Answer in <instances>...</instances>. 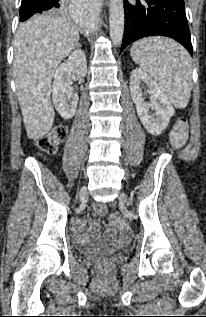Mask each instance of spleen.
Here are the masks:
<instances>
[{
	"label": "spleen",
	"instance_id": "obj_1",
	"mask_svg": "<svg viewBox=\"0 0 206 317\" xmlns=\"http://www.w3.org/2000/svg\"><path fill=\"white\" fill-rule=\"evenodd\" d=\"M130 53L154 77L170 103L180 109L187 106L192 88V62L181 45L164 37H148L135 42Z\"/></svg>",
	"mask_w": 206,
	"mask_h": 317
}]
</instances>
